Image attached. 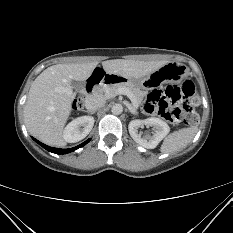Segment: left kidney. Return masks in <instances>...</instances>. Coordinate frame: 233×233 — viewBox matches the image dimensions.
<instances>
[{
	"mask_svg": "<svg viewBox=\"0 0 233 233\" xmlns=\"http://www.w3.org/2000/svg\"><path fill=\"white\" fill-rule=\"evenodd\" d=\"M142 125L153 126V136L142 138L141 135L138 134V128ZM128 129L134 141L148 149H154L170 131V128L166 122L155 117L147 118L145 120H132L128 125Z\"/></svg>",
	"mask_w": 233,
	"mask_h": 233,
	"instance_id": "left-kidney-1",
	"label": "left kidney"
}]
</instances>
